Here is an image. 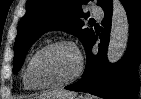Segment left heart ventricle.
<instances>
[{"label":"left heart ventricle","mask_w":141,"mask_h":99,"mask_svg":"<svg viewBox=\"0 0 141 99\" xmlns=\"http://www.w3.org/2000/svg\"><path fill=\"white\" fill-rule=\"evenodd\" d=\"M78 68L75 51L57 47L46 51L34 64L33 76L41 83H55L68 79Z\"/></svg>","instance_id":"left-heart-ventricle-1"}]
</instances>
